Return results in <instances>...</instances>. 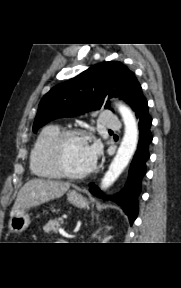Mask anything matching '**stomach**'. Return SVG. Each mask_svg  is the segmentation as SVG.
<instances>
[{"instance_id":"obj_1","label":"stomach","mask_w":181,"mask_h":288,"mask_svg":"<svg viewBox=\"0 0 181 288\" xmlns=\"http://www.w3.org/2000/svg\"><path fill=\"white\" fill-rule=\"evenodd\" d=\"M68 201L78 208H85L88 206L86 198L75 190L69 191L67 194ZM30 224L29 215L26 211H20L11 216L9 220V230L14 233L24 231Z\"/></svg>"}]
</instances>
